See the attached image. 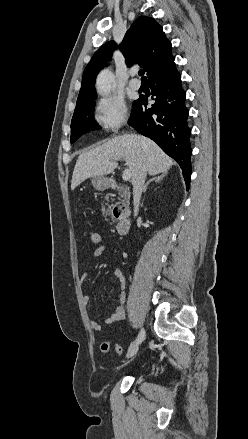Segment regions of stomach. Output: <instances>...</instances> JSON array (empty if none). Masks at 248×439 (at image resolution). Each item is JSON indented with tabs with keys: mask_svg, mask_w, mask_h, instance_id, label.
<instances>
[{
	"mask_svg": "<svg viewBox=\"0 0 248 439\" xmlns=\"http://www.w3.org/2000/svg\"><path fill=\"white\" fill-rule=\"evenodd\" d=\"M91 183L96 190L102 191L108 188L110 180L105 176H94Z\"/></svg>",
	"mask_w": 248,
	"mask_h": 439,
	"instance_id": "obj_1",
	"label": "stomach"
}]
</instances>
